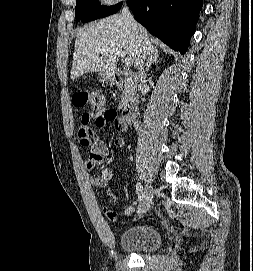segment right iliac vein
Listing matches in <instances>:
<instances>
[{
    "mask_svg": "<svg viewBox=\"0 0 253 271\" xmlns=\"http://www.w3.org/2000/svg\"><path fill=\"white\" fill-rule=\"evenodd\" d=\"M153 199V189L150 185L145 186L144 197L139 207L141 214L146 213L150 210Z\"/></svg>",
    "mask_w": 253,
    "mask_h": 271,
    "instance_id": "right-iliac-vein-1",
    "label": "right iliac vein"
}]
</instances>
